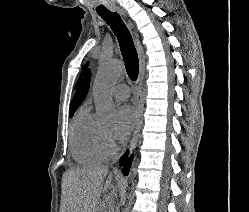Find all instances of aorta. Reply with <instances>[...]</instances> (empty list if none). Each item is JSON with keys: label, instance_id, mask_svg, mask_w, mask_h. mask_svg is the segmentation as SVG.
I'll return each instance as SVG.
<instances>
[{"label": "aorta", "instance_id": "obj_1", "mask_svg": "<svg viewBox=\"0 0 249 212\" xmlns=\"http://www.w3.org/2000/svg\"><path fill=\"white\" fill-rule=\"evenodd\" d=\"M123 66L118 60H105L101 62L97 71L93 96L100 120L108 122L116 118V109L112 100V88L122 74ZM127 208H124V212Z\"/></svg>", "mask_w": 249, "mask_h": 212}]
</instances>
